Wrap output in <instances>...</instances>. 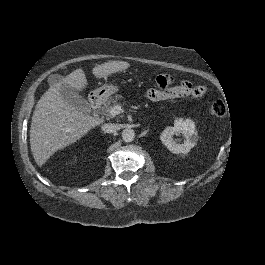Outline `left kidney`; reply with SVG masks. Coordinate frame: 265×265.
<instances>
[{
	"mask_svg": "<svg viewBox=\"0 0 265 265\" xmlns=\"http://www.w3.org/2000/svg\"><path fill=\"white\" fill-rule=\"evenodd\" d=\"M182 133L185 140L182 144L176 143L172 136ZM160 139L162 143L175 154H187L198 141V134L195 131V123L191 119L178 118L174 121L173 127H166L162 132Z\"/></svg>",
	"mask_w": 265,
	"mask_h": 265,
	"instance_id": "1",
	"label": "left kidney"
}]
</instances>
